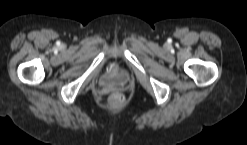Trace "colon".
Here are the masks:
<instances>
[{
    "label": "colon",
    "instance_id": "obj_1",
    "mask_svg": "<svg viewBox=\"0 0 247 145\" xmlns=\"http://www.w3.org/2000/svg\"><path fill=\"white\" fill-rule=\"evenodd\" d=\"M112 100H113L114 102H120V101H121V98H120L119 95H114V96H112Z\"/></svg>",
    "mask_w": 247,
    "mask_h": 145
}]
</instances>
